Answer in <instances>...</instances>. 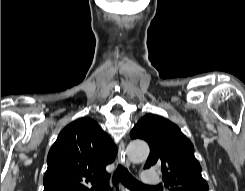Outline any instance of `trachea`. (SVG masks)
I'll list each match as a JSON object with an SVG mask.
<instances>
[{
  "label": "trachea",
  "instance_id": "obj_1",
  "mask_svg": "<svg viewBox=\"0 0 245 191\" xmlns=\"http://www.w3.org/2000/svg\"><path fill=\"white\" fill-rule=\"evenodd\" d=\"M112 179L114 184H118L119 181H121L126 187L134 191L153 188L151 186L143 185L141 182L135 179L122 165H118Z\"/></svg>",
  "mask_w": 245,
  "mask_h": 191
}]
</instances>
